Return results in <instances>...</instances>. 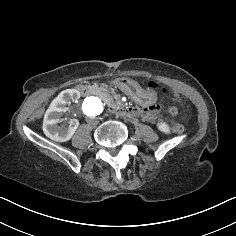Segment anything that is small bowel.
<instances>
[{"instance_id": "small-bowel-1", "label": "small bowel", "mask_w": 236, "mask_h": 236, "mask_svg": "<svg viewBox=\"0 0 236 236\" xmlns=\"http://www.w3.org/2000/svg\"><path fill=\"white\" fill-rule=\"evenodd\" d=\"M144 116L150 120H155L158 116V109L155 106L149 107L144 110Z\"/></svg>"}]
</instances>
